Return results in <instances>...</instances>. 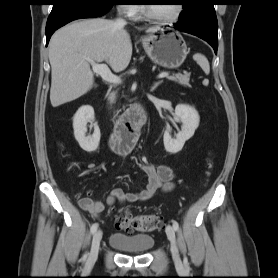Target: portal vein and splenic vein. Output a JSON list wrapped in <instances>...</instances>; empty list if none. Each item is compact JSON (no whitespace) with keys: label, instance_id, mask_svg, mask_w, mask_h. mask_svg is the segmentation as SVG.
I'll list each match as a JSON object with an SVG mask.
<instances>
[{"label":"portal vein and splenic vein","instance_id":"18ae733b","mask_svg":"<svg viewBox=\"0 0 278 278\" xmlns=\"http://www.w3.org/2000/svg\"><path fill=\"white\" fill-rule=\"evenodd\" d=\"M89 63L92 65L93 71L95 73H97L98 75H100L105 81H108V82L114 83V84L121 83V78L114 75L106 64H98L93 60H89ZM168 76H169L168 72H163L158 75V78H165Z\"/></svg>","mask_w":278,"mask_h":278}]
</instances>
